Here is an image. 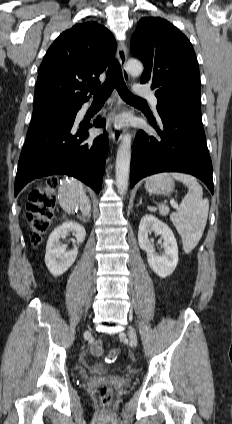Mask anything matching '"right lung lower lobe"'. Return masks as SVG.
Segmentation results:
<instances>
[{
	"label": "right lung lower lobe",
	"mask_w": 232,
	"mask_h": 424,
	"mask_svg": "<svg viewBox=\"0 0 232 424\" xmlns=\"http://www.w3.org/2000/svg\"><path fill=\"white\" fill-rule=\"evenodd\" d=\"M80 108L50 110L41 121H31L18 163L15 196L28 182L58 174L78 178L97 193L100 191L108 136L104 132L87 139L92 124L81 125L77 130L74 122ZM93 125L101 127L104 121L98 118Z\"/></svg>",
	"instance_id": "1"
}]
</instances>
